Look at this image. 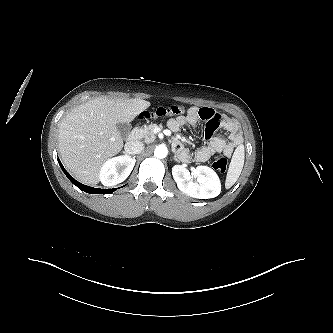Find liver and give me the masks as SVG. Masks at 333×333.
I'll use <instances>...</instances> for the list:
<instances>
[{
    "label": "liver",
    "instance_id": "6515ba94",
    "mask_svg": "<svg viewBox=\"0 0 333 333\" xmlns=\"http://www.w3.org/2000/svg\"><path fill=\"white\" fill-rule=\"evenodd\" d=\"M149 106L142 99L99 97L74 108L59 123L58 146L66 168L78 181L96 185L104 161L123 147L116 124L132 121Z\"/></svg>",
    "mask_w": 333,
    "mask_h": 333
}]
</instances>
